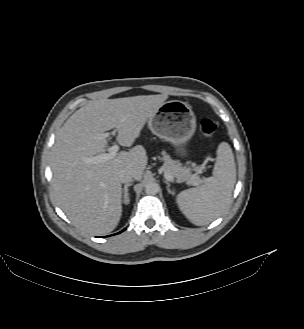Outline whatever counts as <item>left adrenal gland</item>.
<instances>
[{"label":"left adrenal gland","mask_w":304,"mask_h":329,"mask_svg":"<svg viewBox=\"0 0 304 329\" xmlns=\"http://www.w3.org/2000/svg\"><path fill=\"white\" fill-rule=\"evenodd\" d=\"M164 182L167 184L168 193L174 194L173 191L170 190V183L168 181H164Z\"/></svg>","instance_id":"obj_1"}]
</instances>
